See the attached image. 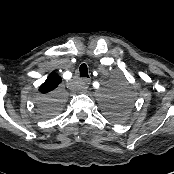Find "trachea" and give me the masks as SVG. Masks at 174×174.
I'll return each mask as SVG.
<instances>
[{
	"label": "trachea",
	"instance_id": "obj_1",
	"mask_svg": "<svg viewBox=\"0 0 174 174\" xmlns=\"http://www.w3.org/2000/svg\"><path fill=\"white\" fill-rule=\"evenodd\" d=\"M79 72H80V77H88L89 78L87 65L85 63L81 64V66L79 67Z\"/></svg>",
	"mask_w": 174,
	"mask_h": 174
}]
</instances>
